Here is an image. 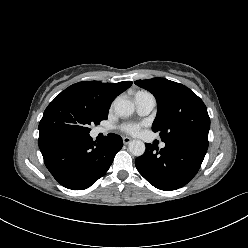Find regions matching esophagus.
Returning <instances> with one entry per match:
<instances>
[{
  "instance_id": "34e87169",
  "label": "esophagus",
  "mask_w": 248,
  "mask_h": 248,
  "mask_svg": "<svg viewBox=\"0 0 248 248\" xmlns=\"http://www.w3.org/2000/svg\"><path fill=\"white\" fill-rule=\"evenodd\" d=\"M132 141L130 137H123V143L124 144H129Z\"/></svg>"
}]
</instances>
